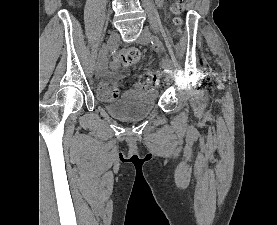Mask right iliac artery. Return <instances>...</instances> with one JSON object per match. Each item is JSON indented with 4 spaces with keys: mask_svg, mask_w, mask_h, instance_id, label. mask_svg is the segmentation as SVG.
I'll return each instance as SVG.
<instances>
[{
    "mask_svg": "<svg viewBox=\"0 0 277 225\" xmlns=\"http://www.w3.org/2000/svg\"><path fill=\"white\" fill-rule=\"evenodd\" d=\"M105 50H106V48H103L102 51H101V53H103Z\"/></svg>",
    "mask_w": 277,
    "mask_h": 225,
    "instance_id": "82829eb1",
    "label": "right iliac artery"
}]
</instances>
